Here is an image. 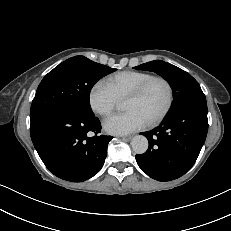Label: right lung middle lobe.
<instances>
[{
	"label": "right lung middle lobe",
	"mask_w": 231,
	"mask_h": 231,
	"mask_svg": "<svg viewBox=\"0 0 231 231\" xmlns=\"http://www.w3.org/2000/svg\"><path fill=\"white\" fill-rule=\"evenodd\" d=\"M114 71L116 69L84 56H75L62 62L38 86L31 105V125L62 108L94 115L89 102L90 91L99 79Z\"/></svg>",
	"instance_id": "1"
}]
</instances>
